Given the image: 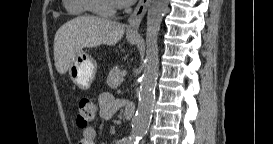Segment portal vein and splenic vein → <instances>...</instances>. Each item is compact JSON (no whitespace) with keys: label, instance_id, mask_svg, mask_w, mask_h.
<instances>
[{"label":"portal vein and splenic vein","instance_id":"obj_1","mask_svg":"<svg viewBox=\"0 0 273 144\" xmlns=\"http://www.w3.org/2000/svg\"><path fill=\"white\" fill-rule=\"evenodd\" d=\"M126 74H127V72H126V71H122V72H121V76H122V77H125V76H126Z\"/></svg>","mask_w":273,"mask_h":144}]
</instances>
